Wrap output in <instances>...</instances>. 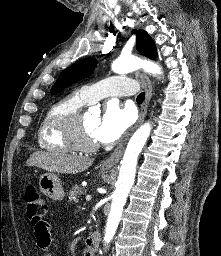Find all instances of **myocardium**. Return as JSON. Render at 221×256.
I'll list each match as a JSON object with an SVG mask.
<instances>
[{"label": "myocardium", "mask_w": 221, "mask_h": 256, "mask_svg": "<svg viewBox=\"0 0 221 256\" xmlns=\"http://www.w3.org/2000/svg\"><path fill=\"white\" fill-rule=\"evenodd\" d=\"M83 113L79 111L67 129V136L72 143L74 149L83 152H92L98 149L99 145L96 142H91L86 139L83 132Z\"/></svg>", "instance_id": "myocardium-1"}]
</instances>
